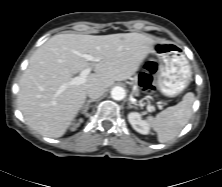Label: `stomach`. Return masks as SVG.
Listing matches in <instances>:
<instances>
[{
  "mask_svg": "<svg viewBox=\"0 0 222 187\" xmlns=\"http://www.w3.org/2000/svg\"><path fill=\"white\" fill-rule=\"evenodd\" d=\"M151 54L159 63L157 77L159 90L169 97L179 95L192 80L191 67L182 47L170 41L157 40Z\"/></svg>",
  "mask_w": 222,
  "mask_h": 187,
  "instance_id": "0dacf381",
  "label": "stomach"
}]
</instances>
